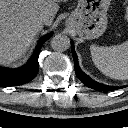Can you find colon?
I'll return each instance as SVG.
<instances>
[{"mask_svg": "<svg viewBox=\"0 0 128 128\" xmlns=\"http://www.w3.org/2000/svg\"><path fill=\"white\" fill-rule=\"evenodd\" d=\"M124 19L128 22V0H124Z\"/></svg>", "mask_w": 128, "mask_h": 128, "instance_id": "5ec220e1", "label": "colon"}]
</instances>
